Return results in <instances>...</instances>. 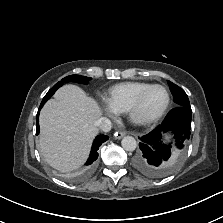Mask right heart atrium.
Instances as JSON below:
<instances>
[{
    "label": "right heart atrium",
    "instance_id": "right-heart-atrium-1",
    "mask_svg": "<svg viewBox=\"0 0 223 223\" xmlns=\"http://www.w3.org/2000/svg\"><path fill=\"white\" fill-rule=\"evenodd\" d=\"M105 110L109 113V114H115L116 111L107 103L105 105Z\"/></svg>",
    "mask_w": 223,
    "mask_h": 223
}]
</instances>
